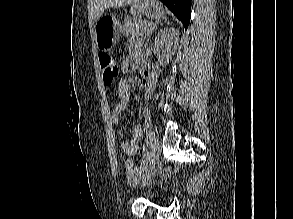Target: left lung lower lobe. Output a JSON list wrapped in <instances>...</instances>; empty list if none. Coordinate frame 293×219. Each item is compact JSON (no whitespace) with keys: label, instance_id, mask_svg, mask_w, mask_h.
<instances>
[{"label":"left lung lower lobe","instance_id":"obj_1","mask_svg":"<svg viewBox=\"0 0 293 219\" xmlns=\"http://www.w3.org/2000/svg\"><path fill=\"white\" fill-rule=\"evenodd\" d=\"M176 17L184 24L187 29L191 17L190 0H160Z\"/></svg>","mask_w":293,"mask_h":219}]
</instances>
